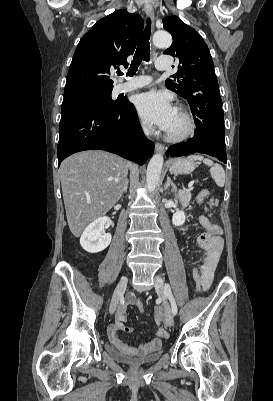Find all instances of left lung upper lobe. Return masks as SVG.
Returning a JSON list of instances; mask_svg holds the SVG:
<instances>
[{
	"label": "left lung upper lobe",
	"instance_id": "1",
	"mask_svg": "<svg viewBox=\"0 0 273 401\" xmlns=\"http://www.w3.org/2000/svg\"><path fill=\"white\" fill-rule=\"evenodd\" d=\"M163 27L171 33L173 43L164 54L177 57L178 71L165 85L186 98L193 94L220 95L214 64L208 46L201 36L178 16L163 19Z\"/></svg>",
	"mask_w": 273,
	"mask_h": 401
}]
</instances>
